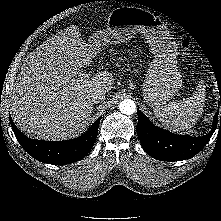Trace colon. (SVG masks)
I'll use <instances>...</instances> for the list:
<instances>
[{"label": "colon", "instance_id": "colon-1", "mask_svg": "<svg viewBox=\"0 0 221 221\" xmlns=\"http://www.w3.org/2000/svg\"><path fill=\"white\" fill-rule=\"evenodd\" d=\"M181 46H182V48H184V49L189 48V46H190V41H189L188 39H184V40L181 42Z\"/></svg>", "mask_w": 221, "mask_h": 221}]
</instances>
